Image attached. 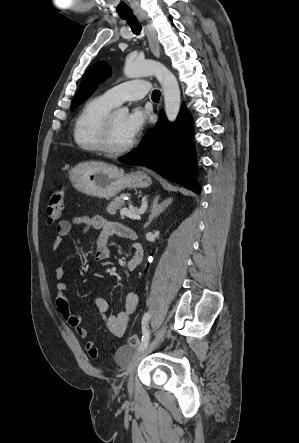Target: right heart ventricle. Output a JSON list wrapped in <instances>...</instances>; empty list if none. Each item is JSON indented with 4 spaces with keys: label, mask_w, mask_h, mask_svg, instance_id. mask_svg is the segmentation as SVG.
<instances>
[{
    "label": "right heart ventricle",
    "mask_w": 299,
    "mask_h": 443,
    "mask_svg": "<svg viewBox=\"0 0 299 443\" xmlns=\"http://www.w3.org/2000/svg\"><path fill=\"white\" fill-rule=\"evenodd\" d=\"M115 104L104 95L89 100L77 116L73 138L81 150L90 153L101 152L100 134L106 116Z\"/></svg>",
    "instance_id": "1"
}]
</instances>
